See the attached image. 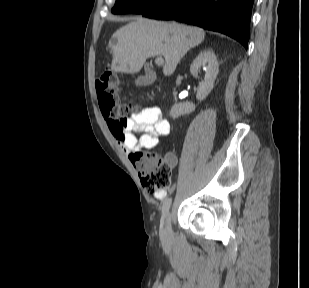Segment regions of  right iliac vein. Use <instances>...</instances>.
I'll use <instances>...</instances> for the list:
<instances>
[{"label": "right iliac vein", "mask_w": 309, "mask_h": 288, "mask_svg": "<svg viewBox=\"0 0 309 288\" xmlns=\"http://www.w3.org/2000/svg\"><path fill=\"white\" fill-rule=\"evenodd\" d=\"M160 234L162 239L168 241L172 237L171 232V214L169 211H166L162 217L160 225Z\"/></svg>", "instance_id": "63e3f726"}]
</instances>
